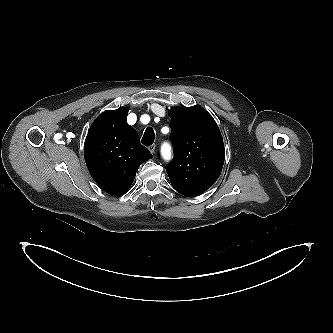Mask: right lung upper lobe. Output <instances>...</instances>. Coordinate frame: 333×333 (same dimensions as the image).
Masks as SVG:
<instances>
[{
  "label": "right lung upper lobe",
  "mask_w": 333,
  "mask_h": 333,
  "mask_svg": "<svg viewBox=\"0 0 333 333\" xmlns=\"http://www.w3.org/2000/svg\"><path fill=\"white\" fill-rule=\"evenodd\" d=\"M128 108L101 113L92 123L84 144L87 168L107 193L124 194L139 166L152 158L139 142L136 130L127 123Z\"/></svg>",
  "instance_id": "obj_1"
}]
</instances>
